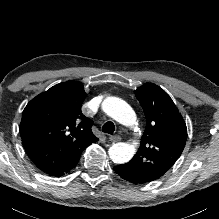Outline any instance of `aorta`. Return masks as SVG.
<instances>
[{"mask_svg": "<svg viewBox=\"0 0 219 219\" xmlns=\"http://www.w3.org/2000/svg\"><path fill=\"white\" fill-rule=\"evenodd\" d=\"M103 111L117 122L125 126L136 124V114L131 106L117 97H108L102 103ZM109 157L117 164L128 162L135 153L134 146L127 143H116L109 148Z\"/></svg>", "mask_w": 219, "mask_h": 219, "instance_id": "obj_1", "label": "aorta"}]
</instances>
